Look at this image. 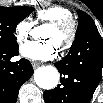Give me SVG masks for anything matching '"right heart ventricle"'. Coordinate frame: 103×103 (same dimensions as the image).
I'll return each instance as SVG.
<instances>
[{"label": "right heart ventricle", "mask_w": 103, "mask_h": 103, "mask_svg": "<svg viewBox=\"0 0 103 103\" xmlns=\"http://www.w3.org/2000/svg\"><path fill=\"white\" fill-rule=\"evenodd\" d=\"M72 18L71 12L62 6L53 5L39 10L35 17L36 23L52 22L59 19Z\"/></svg>", "instance_id": "1"}]
</instances>
